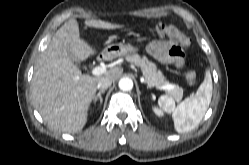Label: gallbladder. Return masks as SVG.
<instances>
[{
  "label": "gallbladder",
  "instance_id": "1",
  "mask_svg": "<svg viewBox=\"0 0 249 165\" xmlns=\"http://www.w3.org/2000/svg\"><path fill=\"white\" fill-rule=\"evenodd\" d=\"M68 55H69V57L71 58V60H72L73 62H76V63L79 62V61H77V60L74 58V55H73L72 52H68Z\"/></svg>",
  "mask_w": 249,
  "mask_h": 165
}]
</instances>
